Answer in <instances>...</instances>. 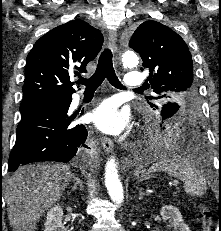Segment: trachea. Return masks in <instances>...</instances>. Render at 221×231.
I'll use <instances>...</instances> for the list:
<instances>
[{"mask_svg": "<svg viewBox=\"0 0 221 231\" xmlns=\"http://www.w3.org/2000/svg\"><path fill=\"white\" fill-rule=\"evenodd\" d=\"M112 52L109 49H105L98 61L97 69L95 73L89 78H79L78 82L86 86L87 91H95L104 81L105 78L110 84L116 88L124 89L121 82L118 80L112 62ZM137 88L136 90H140Z\"/></svg>", "mask_w": 221, "mask_h": 231, "instance_id": "trachea-1", "label": "trachea"}]
</instances>
